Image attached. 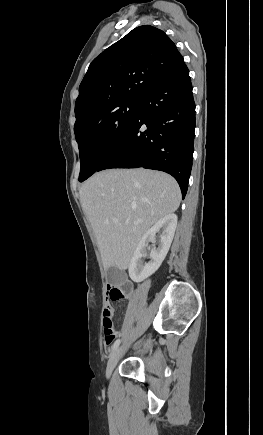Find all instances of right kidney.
<instances>
[{
  "label": "right kidney",
  "instance_id": "ca27d5eb",
  "mask_svg": "<svg viewBox=\"0 0 263 435\" xmlns=\"http://www.w3.org/2000/svg\"><path fill=\"white\" fill-rule=\"evenodd\" d=\"M177 227V216L168 214L145 232L139 241L129 265V276L135 282H141L155 273L164 261L171 246ZM157 232H161L157 248L151 250L150 261L144 262L147 257V246L155 240Z\"/></svg>",
  "mask_w": 263,
  "mask_h": 435
}]
</instances>
